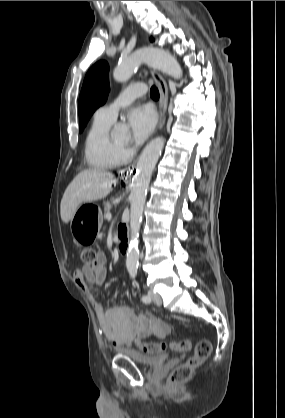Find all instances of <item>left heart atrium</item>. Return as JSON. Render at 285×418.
Returning a JSON list of instances; mask_svg holds the SVG:
<instances>
[{
    "instance_id": "1",
    "label": "left heart atrium",
    "mask_w": 285,
    "mask_h": 418,
    "mask_svg": "<svg viewBox=\"0 0 285 418\" xmlns=\"http://www.w3.org/2000/svg\"><path fill=\"white\" fill-rule=\"evenodd\" d=\"M132 141L135 144L144 142L153 132L157 118L154 110L149 106L133 108L127 115Z\"/></svg>"
}]
</instances>
